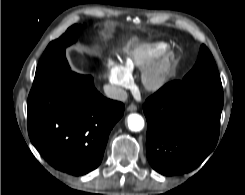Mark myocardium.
<instances>
[{
    "mask_svg": "<svg viewBox=\"0 0 245 195\" xmlns=\"http://www.w3.org/2000/svg\"><path fill=\"white\" fill-rule=\"evenodd\" d=\"M177 64V56L168 53L142 73V84L149 91H157L165 85L172 69Z\"/></svg>",
    "mask_w": 245,
    "mask_h": 195,
    "instance_id": "myocardium-1",
    "label": "myocardium"
}]
</instances>
